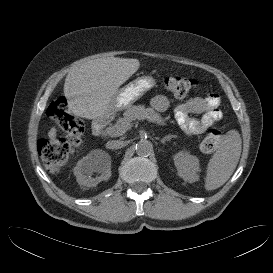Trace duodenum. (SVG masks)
<instances>
[{
	"label": "duodenum",
	"mask_w": 273,
	"mask_h": 273,
	"mask_svg": "<svg viewBox=\"0 0 273 273\" xmlns=\"http://www.w3.org/2000/svg\"><path fill=\"white\" fill-rule=\"evenodd\" d=\"M104 128V121L101 119H96L93 123V134L96 136L101 135Z\"/></svg>",
	"instance_id": "obj_1"
}]
</instances>
